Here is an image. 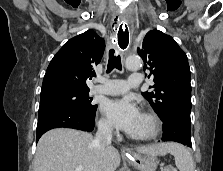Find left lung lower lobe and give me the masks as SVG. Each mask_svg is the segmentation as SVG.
<instances>
[{
    "label": "left lung lower lobe",
    "instance_id": "1",
    "mask_svg": "<svg viewBox=\"0 0 223 171\" xmlns=\"http://www.w3.org/2000/svg\"><path fill=\"white\" fill-rule=\"evenodd\" d=\"M162 141H174L192 147L191 119L173 114L163 121Z\"/></svg>",
    "mask_w": 223,
    "mask_h": 171
}]
</instances>
